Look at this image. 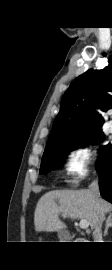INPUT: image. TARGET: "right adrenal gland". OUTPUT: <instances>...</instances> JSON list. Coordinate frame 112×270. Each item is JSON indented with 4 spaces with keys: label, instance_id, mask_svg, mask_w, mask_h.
<instances>
[{
    "label": "right adrenal gland",
    "instance_id": "2a0ac1e0",
    "mask_svg": "<svg viewBox=\"0 0 112 270\" xmlns=\"http://www.w3.org/2000/svg\"><path fill=\"white\" fill-rule=\"evenodd\" d=\"M112 227V213H109L107 219H106V227L104 230V236L108 234V229Z\"/></svg>",
    "mask_w": 112,
    "mask_h": 270
}]
</instances>
